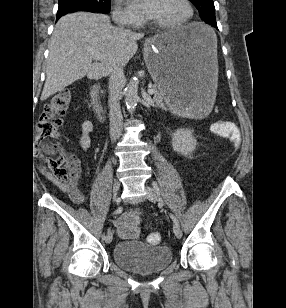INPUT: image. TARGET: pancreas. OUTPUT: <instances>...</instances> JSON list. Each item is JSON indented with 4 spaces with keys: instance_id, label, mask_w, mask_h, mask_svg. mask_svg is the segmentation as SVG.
Masks as SVG:
<instances>
[{
    "instance_id": "1",
    "label": "pancreas",
    "mask_w": 286,
    "mask_h": 308,
    "mask_svg": "<svg viewBox=\"0 0 286 308\" xmlns=\"http://www.w3.org/2000/svg\"><path fill=\"white\" fill-rule=\"evenodd\" d=\"M154 89L156 90V92L154 93V99H155V101H156L158 104H160V105H162V106H165L164 103H163L164 97H163L162 92H161L158 88H156V87H154ZM167 105H168V107H174L172 104H167Z\"/></svg>"
}]
</instances>
